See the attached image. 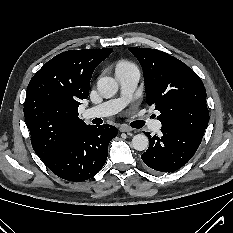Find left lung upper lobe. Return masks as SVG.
<instances>
[{"label":"left lung upper lobe","mask_w":233,"mask_h":233,"mask_svg":"<svg viewBox=\"0 0 233 233\" xmlns=\"http://www.w3.org/2000/svg\"><path fill=\"white\" fill-rule=\"evenodd\" d=\"M144 70L147 102L160 111L163 127L202 138L209 121L206 90L200 77L182 61L155 49L131 47Z\"/></svg>","instance_id":"5c2ea615"}]
</instances>
